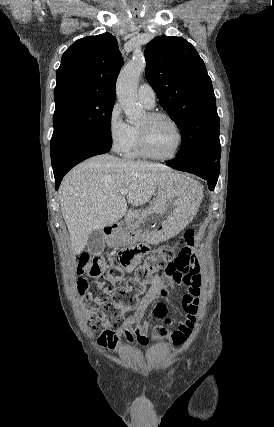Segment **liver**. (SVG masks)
Masks as SVG:
<instances>
[{"label": "liver", "instance_id": "6515ba94", "mask_svg": "<svg viewBox=\"0 0 274 427\" xmlns=\"http://www.w3.org/2000/svg\"><path fill=\"white\" fill-rule=\"evenodd\" d=\"M162 164L131 162L103 154L78 164L61 182L59 200L74 253H81L94 229L112 225L127 212V202L143 206L170 178H181ZM120 190H128L121 196Z\"/></svg>", "mask_w": 274, "mask_h": 427}]
</instances>
